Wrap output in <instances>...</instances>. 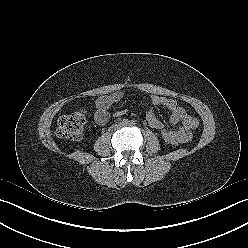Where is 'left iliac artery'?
<instances>
[{
	"instance_id": "44dca946",
	"label": "left iliac artery",
	"mask_w": 248,
	"mask_h": 248,
	"mask_svg": "<svg viewBox=\"0 0 248 248\" xmlns=\"http://www.w3.org/2000/svg\"><path fill=\"white\" fill-rule=\"evenodd\" d=\"M130 124H131V125H134V124H135V122H134V121H131V122H130Z\"/></svg>"
}]
</instances>
